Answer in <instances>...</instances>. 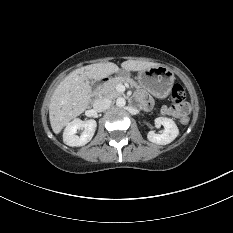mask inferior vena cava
<instances>
[{
    "instance_id": "obj_1",
    "label": "inferior vena cava",
    "mask_w": 233,
    "mask_h": 233,
    "mask_svg": "<svg viewBox=\"0 0 233 233\" xmlns=\"http://www.w3.org/2000/svg\"><path fill=\"white\" fill-rule=\"evenodd\" d=\"M112 104V101L108 98H99L97 100L94 101L93 103V108L97 111V112H102L106 109H108Z\"/></svg>"
}]
</instances>
